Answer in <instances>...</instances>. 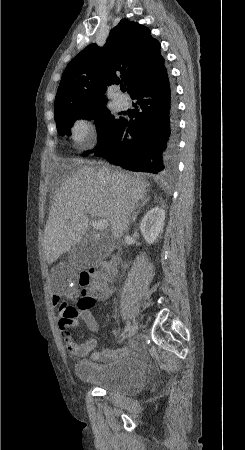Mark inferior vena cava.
Returning a JSON list of instances; mask_svg holds the SVG:
<instances>
[{
  "mask_svg": "<svg viewBox=\"0 0 245 450\" xmlns=\"http://www.w3.org/2000/svg\"><path fill=\"white\" fill-rule=\"evenodd\" d=\"M101 174L104 175V176H109L110 175V171L108 169H106V168H103L101 170Z\"/></svg>",
  "mask_w": 245,
  "mask_h": 450,
  "instance_id": "inferior-vena-cava-1",
  "label": "inferior vena cava"
}]
</instances>
